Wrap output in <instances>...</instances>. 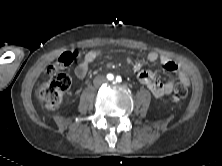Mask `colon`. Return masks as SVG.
I'll list each match as a JSON object with an SVG mask.
<instances>
[{
  "mask_svg": "<svg viewBox=\"0 0 222 166\" xmlns=\"http://www.w3.org/2000/svg\"><path fill=\"white\" fill-rule=\"evenodd\" d=\"M78 57V52L68 51L60 55L57 61L52 64L48 72L51 78L42 83L38 96L45 106L50 110L57 109L62 101L64 94L69 89L71 81L64 69L71 66ZM188 95V87L183 83L175 85L173 90V99L176 102H182Z\"/></svg>",
  "mask_w": 222,
  "mask_h": 166,
  "instance_id": "obj_1",
  "label": "colon"
}]
</instances>
